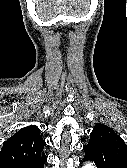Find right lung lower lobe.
Listing matches in <instances>:
<instances>
[{
	"instance_id": "right-lung-lower-lobe-1",
	"label": "right lung lower lobe",
	"mask_w": 127,
	"mask_h": 168,
	"mask_svg": "<svg viewBox=\"0 0 127 168\" xmlns=\"http://www.w3.org/2000/svg\"><path fill=\"white\" fill-rule=\"evenodd\" d=\"M46 161L47 158L35 162H28V161L4 162L0 164V168H44V164Z\"/></svg>"
}]
</instances>
